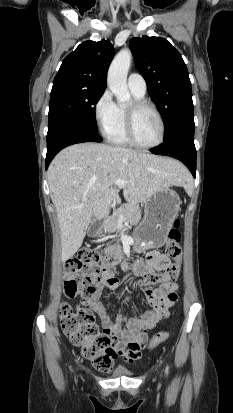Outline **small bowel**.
<instances>
[{"mask_svg":"<svg viewBox=\"0 0 233 413\" xmlns=\"http://www.w3.org/2000/svg\"><path fill=\"white\" fill-rule=\"evenodd\" d=\"M121 250L114 253L115 260L120 259ZM146 261H137L127 266L122 264V270L128 274L139 276L148 275L154 271L164 270L170 260L155 249L146 251ZM118 288L116 278L101 281L97 292L86 299V304L98 315L103 332L111 339V346L116 355L128 363H134L141 358V350L145 348L148 330L154 328L167 314L169 308L178 302L176 296L178 285L174 282L163 283L158 289H148L142 296L152 307L138 316L117 313L113 319L107 312L101 295L104 290L115 291Z\"/></svg>","mask_w":233,"mask_h":413,"instance_id":"obj_1","label":"small bowel"}]
</instances>
